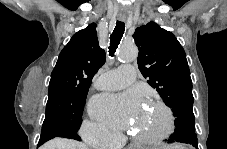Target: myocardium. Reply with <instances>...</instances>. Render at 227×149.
I'll return each instance as SVG.
<instances>
[{
	"mask_svg": "<svg viewBox=\"0 0 227 149\" xmlns=\"http://www.w3.org/2000/svg\"><path fill=\"white\" fill-rule=\"evenodd\" d=\"M149 102L159 107L164 112V115L166 118V124L163 131H161L158 134H154L150 136H140V135L132 134L131 137L133 138V140L142 145H155L164 141L172 134L175 126L174 115L168 105H166L163 101L159 99H150Z\"/></svg>",
	"mask_w": 227,
	"mask_h": 149,
	"instance_id": "myocardium-1",
	"label": "myocardium"
}]
</instances>
